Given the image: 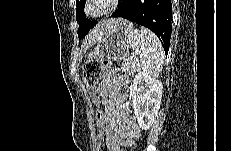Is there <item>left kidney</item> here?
Listing matches in <instances>:
<instances>
[{
  "instance_id": "left-kidney-1",
  "label": "left kidney",
  "mask_w": 231,
  "mask_h": 151,
  "mask_svg": "<svg viewBox=\"0 0 231 151\" xmlns=\"http://www.w3.org/2000/svg\"><path fill=\"white\" fill-rule=\"evenodd\" d=\"M163 85L156 78L139 72L132 84V105L137 122L142 130L149 129L158 114Z\"/></svg>"
}]
</instances>
